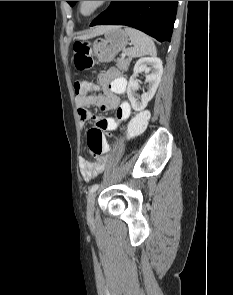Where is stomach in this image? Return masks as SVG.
Here are the masks:
<instances>
[{
  "label": "stomach",
  "instance_id": "0dacf381",
  "mask_svg": "<svg viewBox=\"0 0 233 295\" xmlns=\"http://www.w3.org/2000/svg\"><path fill=\"white\" fill-rule=\"evenodd\" d=\"M127 44V33L120 27H111L104 39L94 42L93 53L99 62H111Z\"/></svg>",
  "mask_w": 233,
  "mask_h": 295
}]
</instances>
